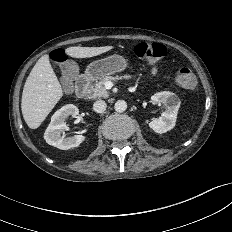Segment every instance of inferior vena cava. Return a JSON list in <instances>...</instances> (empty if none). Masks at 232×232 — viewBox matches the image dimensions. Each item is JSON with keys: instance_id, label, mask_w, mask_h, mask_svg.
<instances>
[{"instance_id": "602c4592", "label": "inferior vena cava", "mask_w": 232, "mask_h": 232, "mask_svg": "<svg viewBox=\"0 0 232 232\" xmlns=\"http://www.w3.org/2000/svg\"><path fill=\"white\" fill-rule=\"evenodd\" d=\"M106 102L103 100H98L93 104V110L97 113H103L106 110Z\"/></svg>"}]
</instances>
